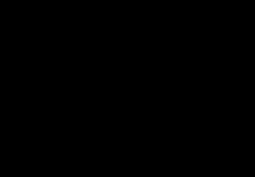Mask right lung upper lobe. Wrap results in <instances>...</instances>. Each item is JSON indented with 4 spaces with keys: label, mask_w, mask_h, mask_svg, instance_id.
<instances>
[{
    "label": "right lung upper lobe",
    "mask_w": 255,
    "mask_h": 177,
    "mask_svg": "<svg viewBox=\"0 0 255 177\" xmlns=\"http://www.w3.org/2000/svg\"><path fill=\"white\" fill-rule=\"evenodd\" d=\"M101 47L97 40L79 39L65 50L50 72L48 96L63 106L59 116L61 124L66 127L85 129L82 124L85 114L77 112L71 105L82 101L98 73Z\"/></svg>",
    "instance_id": "obj_1"
}]
</instances>
